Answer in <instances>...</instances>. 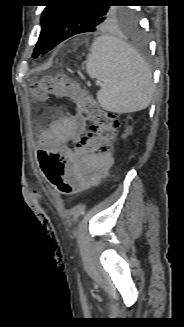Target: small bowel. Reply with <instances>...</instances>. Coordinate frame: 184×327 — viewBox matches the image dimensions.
<instances>
[{
  "instance_id": "obj_1",
  "label": "small bowel",
  "mask_w": 184,
  "mask_h": 327,
  "mask_svg": "<svg viewBox=\"0 0 184 327\" xmlns=\"http://www.w3.org/2000/svg\"><path fill=\"white\" fill-rule=\"evenodd\" d=\"M87 120L86 117L77 113L71 116L62 117L54 121L49 128L43 133L41 138V151L43 153L44 148H54L55 153H59L60 157H63L66 153V145L70 142H79L86 130ZM67 160H78V153H67ZM114 163V158L111 153H104L88 157L82 161V163L76 168L75 174L84 175V184L75 185L73 192L80 191L92 184L99 181L110 170ZM50 165V164H40ZM70 179V182H74V179ZM26 194L31 195L33 198H37L41 194L40 188H27ZM38 206L44 205L43 199L37 200Z\"/></svg>"
}]
</instances>
